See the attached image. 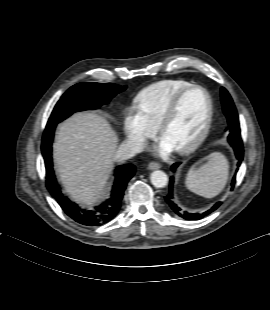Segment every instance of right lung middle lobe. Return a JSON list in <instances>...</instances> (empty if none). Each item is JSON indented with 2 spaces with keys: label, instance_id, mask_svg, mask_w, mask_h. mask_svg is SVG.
I'll use <instances>...</instances> for the list:
<instances>
[{
  "label": "right lung middle lobe",
  "instance_id": "1",
  "mask_svg": "<svg viewBox=\"0 0 270 310\" xmlns=\"http://www.w3.org/2000/svg\"><path fill=\"white\" fill-rule=\"evenodd\" d=\"M125 89L126 86L113 83H78L62 95L55 105L48 123H59L77 111L97 109Z\"/></svg>",
  "mask_w": 270,
  "mask_h": 310
}]
</instances>
